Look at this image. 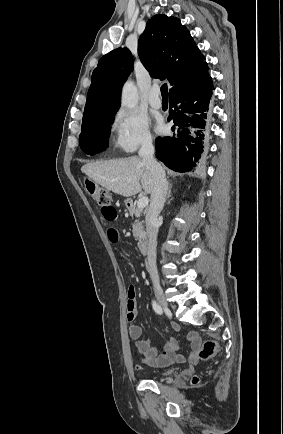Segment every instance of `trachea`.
I'll use <instances>...</instances> for the list:
<instances>
[{"instance_id":"3493384b","label":"trachea","mask_w":283,"mask_h":434,"mask_svg":"<svg viewBox=\"0 0 283 434\" xmlns=\"http://www.w3.org/2000/svg\"><path fill=\"white\" fill-rule=\"evenodd\" d=\"M161 94H162V97H168V90H167V84L166 83L161 86Z\"/></svg>"}]
</instances>
